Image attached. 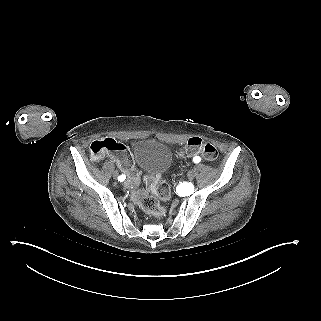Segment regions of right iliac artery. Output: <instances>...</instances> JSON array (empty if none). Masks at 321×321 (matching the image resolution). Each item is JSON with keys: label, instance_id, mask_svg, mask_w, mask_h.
Returning <instances> with one entry per match:
<instances>
[{"label": "right iliac artery", "instance_id": "1", "mask_svg": "<svg viewBox=\"0 0 321 321\" xmlns=\"http://www.w3.org/2000/svg\"><path fill=\"white\" fill-rule=\"evenodd\" d=\"M124 180H125V175H123V174L120 175V176H119V181H124Z\"/></svg>", "mask_w": 321, "mask_h": 321}]
</instances>
